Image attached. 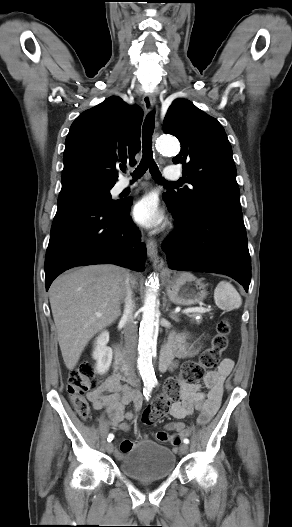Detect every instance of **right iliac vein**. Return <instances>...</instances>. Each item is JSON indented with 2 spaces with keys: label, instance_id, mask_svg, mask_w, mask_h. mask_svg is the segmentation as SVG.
<instances>
[{
  "label": "right iliac vein",
  "instance_id": "1",
  "mask_svg": "<svg viewBox=\"0 0 292 527\" xmlns=\"http://www.w3.org/2000/svg\"><path fill=\"white\" fill-rule=\"evenodd\" d=\"M113 449H114V446H113L112 443H107L106 444V450H107L108 453H112Z\"/></svg>",
  "mask_w": 292,
  "mask_h": 527
}]
</instances>
